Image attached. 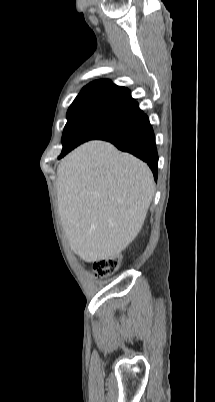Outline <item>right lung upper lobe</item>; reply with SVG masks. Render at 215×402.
I'll return each mask as SVG.
<instances>
[{
    "label": "right lung upper lobe",
    "mask_w": 215,
    "mask_h": 402,
    "mask_svg": "<svg viewBox=\"0 0 215 402\" xmlns=\"http://www.w3.org/2000/svg\"><path fill=\"white\" fill-rule=\"evenodd\" d=\"M79 95L80 96L108 95L124 101L137 103L131 97L130 90L122 86H117L108 79L96 80L89 83L82 89Z\"/></svg>",
    "instance_id": "obj_1"
}]
</instances>
